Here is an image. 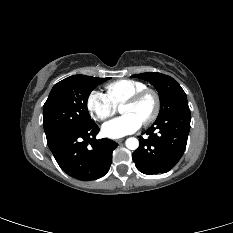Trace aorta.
<instances>
[{
    "instance_id": "1",
    "label": "aorta",
    "mask_w": 233,
    "mask_h": 233,
    "mask_svg": "<svg viewBox=\"0 0 233 233\" xmlns=\"http://www.w3.org/2000/svg\"><path fill=\"white\" fill-rule=\"evenodd\" d=\"M125 145L130 150H136L139 147V141L134 137H130L126 140Z\"/></svg>"
}]
</instances>
